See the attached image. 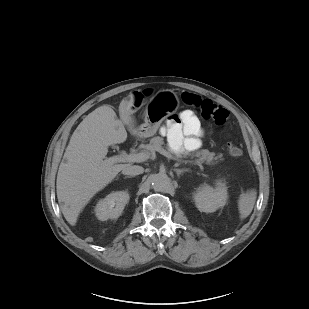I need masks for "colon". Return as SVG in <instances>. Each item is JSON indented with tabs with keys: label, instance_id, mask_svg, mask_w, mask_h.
I'll return each instance as SVG.
<instances>
[{
	"label": "colon",
	"instance_id": "obj_1",
	"mask_svg": "<svg viewBox=\"0 0 309 309\" xmlns=\"http://www.w3.org/2000/svg\"><path fill=\"white\" fill-rule=\"evenodd\" d=\"M183 101L186 105L192 107L203 119H212L216 125L223 126L228 123L229 112L226 108L215 104L210 99L202 98L192 93H185ZM133 104L137 106L140 98L135 96L132 100ZM229 155L239 157L243 150L240 142L232 141L227 144Z\"/></svg>",
	"mask_w": 309,
	"mask_h": 309
}]
</instances>
